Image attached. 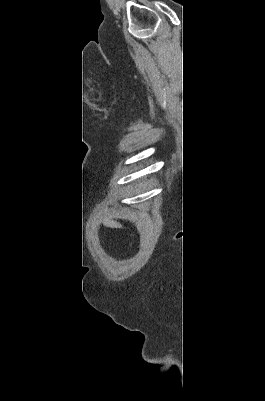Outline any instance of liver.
Returning a JSON list of instances; mask_svg holds the SVG:
<instances>
[{"instance_id":"obj_1","label":"liver","mask_w":265,"mask_h":401,"mask_svg":"<svg viewBox=\"0 0 265 401\" xmlns=\"http://www.w3.org/2000/svg\"><path fill=\"white\" fill-rule=\"evenodd\" d=\"M110 227H115V229H121L122 225H120V223H114V221H111Z\"/></svg>"}]
</instances>
